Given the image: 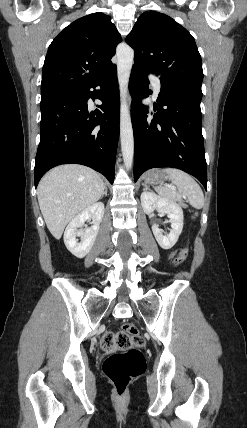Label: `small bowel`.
<instances>
[{
    "label": "small bowel",
    "mask_w": 247,
    "mask_h": 428,
    "mask_svg": "<svg viewBox=\"0 0 247 428\" xmlns=\"http://www.w3.org/2000/svg\"><path fill=\"white\" fill-rule=\"evenodd\" d=\"M174 256V252H172L171 254H170V257H173Z\"/></svg>",
    "instance_id": "c3829d8e"
}]
</instances>
